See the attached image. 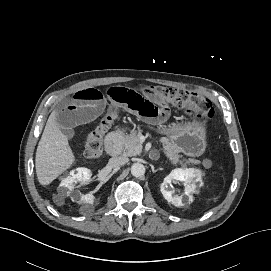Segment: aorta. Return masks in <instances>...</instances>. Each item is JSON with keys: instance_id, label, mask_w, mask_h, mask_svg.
Segmentation results:
<instances>
[{"instance_id": "1", "label": "aorta", "mask_w": 271, "mask_h": 271, "mask_svg": "<svg viewBox=\"0 0 271 271\" xmlns=\"http://www.w3.org/2000/svg\"><path fill=\"white\" fill-rule=\"evenodd\" d=\"M131 174L134 177H141L145 174V166L141 163H134L131 166Z\"/></svg>"}]
</instances>
